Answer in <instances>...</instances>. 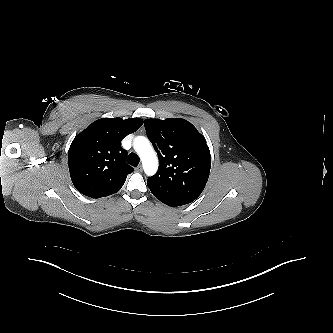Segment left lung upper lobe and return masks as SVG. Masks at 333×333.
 Segmentation results:
<instances>
[{
  "instance_id": "obj_1",
  "label": "left lung upper lobe",
  "mask_w": 333,
  "mask_h": 333,
  "mask_svg": "<svg viewBox=\"0 0 333 333\" xmlns=\"http://www.w3.org/2000/svg\"><path fill=\"white\" fill-rule=\"evenodd\" d=\"M145 129L159 158L157 173L147 185L159 199L176 196L196 199L210 173L211 156L205 138L187 120L146 119Z\"/></svg>"
}]
</instances>
